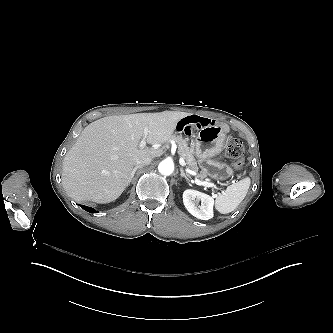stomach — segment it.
<instances>
[{"instance_id": "obj_1", "label": "stomach", "mask_w": 333, "mask_h": 333, "mask_svg": "<svg viewBox=\"0 0 333 333\" xmlns=\"http://www.w3.org/2000/svg\"><path fill=\"white\" fill-rule=\"evenodd\" d=\"M225 140V132L220 126L205 125L191 142L199 168L213 182L226 181L235 175V169L217 157L225 148Z\"/></svg>"}]
</instances>
